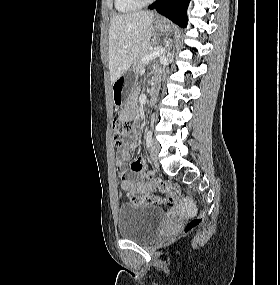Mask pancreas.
Wrapping results in <instances>:
<instances>
[{
	"mask_svg": "<svg viewBox=\"0 0 280 285\" xmlns=\"http://www.w3.org/2000/svg\"><path fill=\"white\" fill-rule=\"evenodd\" d=\"M156 45L157 42H153L151 45H148L140 54L139 56L135 59L134 63H133V69L134 71H136L137 73L140 72V70L143 67V63H142V58L147 55L152 53L155 49H156ZM151 46H154L153 49H151Z\"/></svg>",
	"mask_w": 280,
	"mask_h": 285,
	"instance_id": "cf45deb5",
	"label": "pancreas"
}]
</instances>
